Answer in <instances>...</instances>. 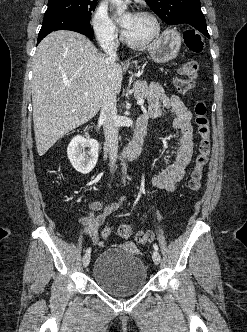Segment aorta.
Segmentation results:
<instances>
[{"mask_svg": "<svg viewBox=\"0 0 247 332\" xmlns=\"http://www.w3.org/2000/svg\"><path fill=\"white\" fill-rule=\"evenodd\" d=\"M110 2L115 5L118 14L123 13L127 9V4L123 0H110ZM123 171H126L125 163H123Z\"/></svg>", "mask_w": 247, "mask_h": 332, "instance_id": "aorta-1", "label": "aorta"}]
</instances>
